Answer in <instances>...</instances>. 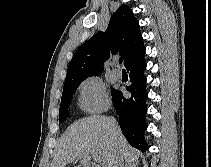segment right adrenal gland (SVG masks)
Segmentation results:
<instances>
[{"instance_id":"1","label":"right adrenal gland","mask_w":211,"mask_h":167,"mask_svg":"<svg viewBox=\"0 0 211 167\" xmlns=\"http://www.w3.org/2000/svg\"><path fill=\"white\" fill-rule=\"evenodd\" d=\"M124 167H136L134 162L126 164Z\"/></svg>"}]
</instances>
